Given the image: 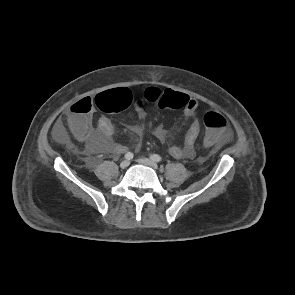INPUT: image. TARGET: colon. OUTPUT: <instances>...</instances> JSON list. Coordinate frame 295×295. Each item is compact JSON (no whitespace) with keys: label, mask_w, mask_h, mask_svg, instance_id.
<instances>
[{"label":"colon","mask_w":295,"mask_h":295,"mask_svg":"<svg viewBox=\"0 0 295 295\" xmlns=\"http://www.w3.org/2000/svg\"><path fill=\"white\" fill-rule=\"evenodd\" d=\"M132 101L131 91L124 87L104 91L93 99L83 98L70 108L72 111L69 118L70 126L76 129L79 118L91 112L93 107L106 113H112L125 109ZM144 102L152 103L161 109H180L187 104L188 96L180 92L149 87L144 91L143 99L139 101V104ZM204 123L206 126L204 145L207 147L215 145L229 134L227 120L218 112H207L204 116Z\"/></svg>","instance_id":"obj_1"}]
</instances>
